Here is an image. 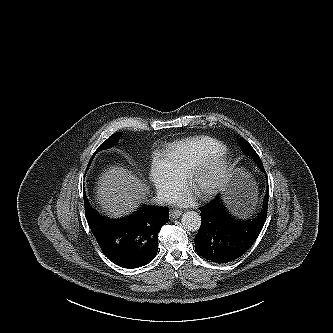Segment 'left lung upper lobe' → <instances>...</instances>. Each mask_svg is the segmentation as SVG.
Segmentation results:
<instances>
[{
	"instance_id": "left-lung-upper-lobe-1",
	"label": "left lung upper lobe",
	"mask_w": 333,
	"mask_h": 333,
	"mask_svg": "<svg viewBox=\"0 0 333 333\" xmlns=\"http://www.w3.org/2000/svg\"><path fill=\"white\" fill-rule=\"evenodd\" d=\"M240 144H241V148H242L243 152L245 154L251 155L256 160L259 168H261L263 170L262 161L259 158L258 154L255 152V150L245 141L244 138L241 139Z\"/></svg>"
}]
</instances>
